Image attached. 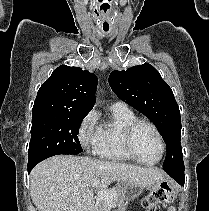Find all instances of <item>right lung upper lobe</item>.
Returning a JSON list of instances; mask_svg holds the SVG:
<instances>
[{"label": "right lung upper lobe", "instance_id": "obj_1", "mask_svg": "<svg viewBox=\"0 0 209 211\" xmlns=\"http://www.w3.org/2000/svg\"><path fill=\"white\" fill-rule=\"evenodd\" d=\"M96 88L95 74L61 65L40 87L32 117L87 115L95 104Z\"/></svg>", "mask_w": 209, "mask_h": 211}]
</instances>
